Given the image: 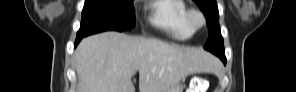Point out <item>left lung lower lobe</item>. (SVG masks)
<instances>
[{
  "instance_id": "1",
  "label": "left lung lower lobe",
  "mask_w": 296,
  "mask_h": 92,
  "mask_svg": "<svg viewBox=\"0 0 296 92\" xmlns=\"http://www.w3.org/2000/svg\"><path fill=\"white\" fill-rule=\"evenodd\" d=\"M224 62L226 61V58L225 56H222V55H218Z\"/></svg>"
}]
</instances>
